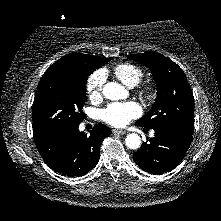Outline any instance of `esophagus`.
Here are the masks:
<instances>
[{
  "instance_id": "esophagus-1",
  "label": "esophagus",
  "mask_w": 221,
  "mask_h": 221,
  "mask_svg": "<svg viewBox=\"0 0 221 221\" xmlns=\"http://www.w3.org/2000/svg\"><path fill=\"white\" fill-rule=\"evenodd\" d=\"M112 132H113L114 134H121V135L126 134V131H124V130H119V129H113Z\"/></svg>"
}]
</instances>
